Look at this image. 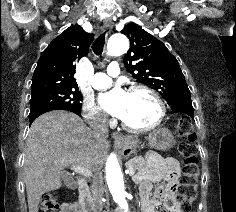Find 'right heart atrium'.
I'll use <instances>...</instances> for the list:
<instances>
[{"label": "right heart atrium", "instance_id": "right-heart-atrium-1", "mask_svg": "<svg viewBox=\"0 0 236 212\" xmlns=\"http://www.w3.org/2000/svg\"><path fill=\"white\" fill-rule=\"evenodd\" d=\"M83 116L88 124L94 127H104L108 120L94 99L86 98L83 103Z\"/></svg>", "mask_w": 236, "mask_h": 212}]
</instances>
